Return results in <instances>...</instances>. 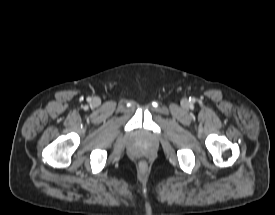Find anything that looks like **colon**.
<instances>
[{
  "label": "colon",
  "mask_w": 275,
  "mask_h": 215,
  "mask_svg": "<svg viewBox=\"0 0 275 215\" xmlns=\"http://www.w3.org/2000/svg\"><path fill=\"white\" fill-rule=\"evenodd\" d=\"M145 167H146V163H145V162H142V163L140 164V168H141V169H145Z\"/></svg>",
  "instance_id": "obj_1"
}]
</instances>
